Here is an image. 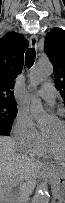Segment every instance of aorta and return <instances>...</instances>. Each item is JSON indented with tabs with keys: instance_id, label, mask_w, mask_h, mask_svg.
<instances>
[{
	"instance_id": "762f6f07",
	"label": "aorta",
	"mask_w": 65,
	"mask_h": 203,
	"mask_svg": "<svg viewBox=\"0 0 65 203\" xmlns=\"http://www.w3.org/2000/svg\"><path fill=\"white\" fill-rule=\"evenodd\" d=\"M53 73V66L49 60L39 61L30 72V81L37 85L45 81ZM30 112L37 125L45 128L51 119V115L44 109L41 100L35 95L30 96ZM50 194L46 183H42L34 196L32 203H49Z\"/></svg>"
}]
</instances>
